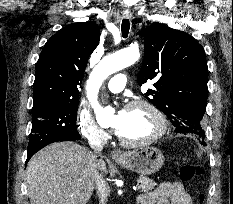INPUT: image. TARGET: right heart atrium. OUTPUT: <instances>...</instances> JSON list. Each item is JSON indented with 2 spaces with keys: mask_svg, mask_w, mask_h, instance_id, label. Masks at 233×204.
<instances>
[{
  "mask_svg": "<svg viewBox=\"0 0 233 204\" xmlns=\"http://www.w3.org/2000/svg\"><path fill=\"white\" fill-rule=\"evenodd\" d=\"M76 128L89 143H103L108 139L107 132L95 122L90 112L82 107L76 114Z\"/></svg>",
  "mask_w": 233,
  "mask_h": 204,
  "instance_id": "d8ad5b80",
  "label": "right heart atrium"
}]
</instances>
